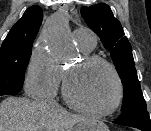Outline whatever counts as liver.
<instances>
[{
    "label": "liver",
    "instance_id": "6515ba94",
    "mask_svg": "<svg viewBox=\"0 0 151 131\" xmlns=\"http://www.w3.org/2000/svg\"><path fill=\"white\" fill-rule=\"evenodd\" d=\"M88 119L27 98L8 97L0 103V131H71Z\"/></svg>",
    "mask_w": 151,
    "mask_h": 131
}]
</instances>
